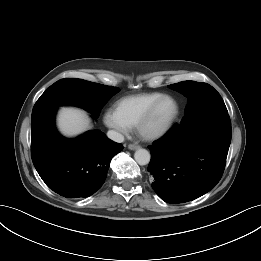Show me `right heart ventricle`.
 Instances as JSON below:
<instances>
[{
  "mask_svg": "<svg viewBox=\"0 0 261 261\" xmlns=\"http://www.w3.org/2000/svg\"><path fill=\"white\" fill-rule=\"evenodd\" d=\"M162 95L151 92L126 96L116 101L114 110L130 127H135L148 108Z\"/></svg>",
  "mask_w": 261,
  "mask_h": 261,
  "instance_id": "right-heart-ventricle-1",
  "label": "right heart ventricle"
}]
</instances>
